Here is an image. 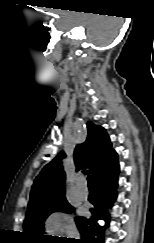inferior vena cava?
Listing matches in <instances>:
<instances>
[{"instance_id": "inferior-vena-cava-1", "label": "inferior vena cava", "mask_w": 154, "mask_h": 243, "mask_svg": "<svg viewBox=\"0 0 154 243\" xmlns=\"http://www.w3.org/2000/svg\"><path fill=\"white\" fill-rule=\"evenodd\" d=\"M67 238H74V239H79L80 234L78 230L75 228V226H71L68 231H67Z\"/></svg>"}]
</instances>
